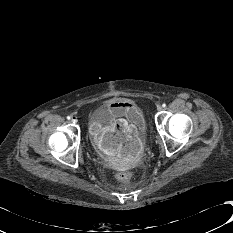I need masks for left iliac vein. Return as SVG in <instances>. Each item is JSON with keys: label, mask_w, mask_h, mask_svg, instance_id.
<instances>
[{"label": "left iliac vein", "mask_w": 233, "mask_h": 233, "mask_svg": "<svg viewBox=\"0 0 233 233\" xmlns=\"http://www.w3.org/2000/svg\"><path fill=\"white\" fill-rule=\"evenodd\" d=\"M157 110H158V111H161V110H162V106L158 105V106H157Z\"/></svg>", "instance_id": "1"}]
</instances>
